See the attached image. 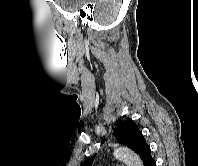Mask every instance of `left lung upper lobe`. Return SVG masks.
Returning <instances> with one entry per match:
<instances>
[{"label": "left lung upper lobe", "mask_w": 198, "mask_h": 166, "mask_svg": "<svg viewBox=\"0 0 198 166\" xmlns=\"http://www.w3.org/2000/svg\"><path fill=\"white\" fill-rule=\"evenodd\" d=\"M114 136L121 144L126 145L134 152H136L142 159L145 165L151 157V149L147 145L142 132L139 130L137 124L132 120L126 121L114 130ZM96 155L88 158L81 166H92Z\"/></svg>", "instance_id": "obj_1"}]
</instances>
